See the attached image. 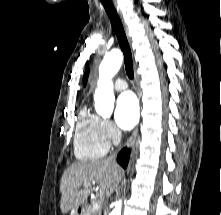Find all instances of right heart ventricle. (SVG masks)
Masks as SVG:
<instances>
[{
	"label": "right heart ventricle",
	"mask_w": 221,
	"mask_h": 215,
	"mask_svg": "<svg viewBox=\"0 0 221 215\" xmlns=\"http://www.w3.org/2000/svg\"><path fill=\"white\" fill-rule=\"evenodd\" d=\"M108 151V142L101 132V119L83 107L78 115L74 134V153L82 161L103 157Z\"/></svg>",
	"instance_id": "e07e8e85"
}]
</instances>
